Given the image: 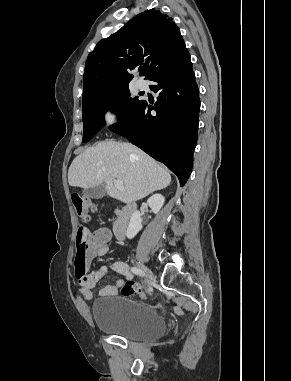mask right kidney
Masks as SVG:
<instances>
[{
    "label": "right kidney",
    "instance_id": "ca27d5eb",
    "mask_svg": "<svg viewBox=\"0 0 291 381\" xmlns=\"http://www.w3.org/2000/svg\"><path fill=\"white\" fill-rule=\"evenodd\" d=\"M164 202H165V198L161 194H154L147 201L149 207L155 214H157L160 211ZM141 229H142L141 213L139 211H135L130 218V222L127 228V232H126L127 238L128 239L134 238Z\"/></svg>",
    "mask_w": 291,
    "mask_h": 381
}]
</instances>
